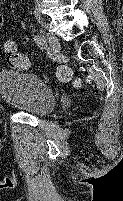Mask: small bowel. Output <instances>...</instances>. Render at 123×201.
<instances>
[{
	"mask_svg": "<svg viewBox=\"0 0 123 201\" xmlns=\"http://www.w3.org/2000/svg\"><path fill=\"white\" fill-rule=\"evenodd\" d=\"M5 23V16L3 15L2 12H0V28L3 26Z\"/></svg>",
	"mask_w": 123,
	"mask_h": 201,
	"instance_id": "obj_1",
	"label": "small bowel"
}]
</instances>
